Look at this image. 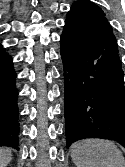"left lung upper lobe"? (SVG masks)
I'll use <instances>...</instances> for the list:
<instances>
[{
  "mask_svg": "<svg viewBox=\"0 0 125 167\" xmlns=\"http://www.w3.org/2000/svg\"><path fill=\"white\" fill-rule=\"evenodd\" d=\"M103 10L94 3L87 0H80L71 6L66 20L93 21L105 18Z\"/></svg>",
  "mask_w": 125,
  "mask_h": 167,
  "instance_id": "5c2ea615",
  "label": "left lung upper lobe"
}]
</instances>
